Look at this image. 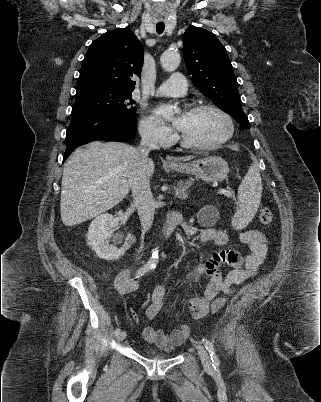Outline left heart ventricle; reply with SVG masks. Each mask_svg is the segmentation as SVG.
Segmentation results:
<instances>
[{
	"instance_id": "left-heart-ventricle-1",
	"label": "left heart ventricle",
	"mask_w": 321,
	"mask_h": 402,
	"mask_svg": "<svg viewBox=\"0 0 321 402\" xmlns=\"http://www.w3.org/2000/svg\"><path fill=\"white\" fill-rule=\"evenodd\" d=\"M181 132L196 143L215 142L227 132L225 119L214 110L187 112Z\"/></svg>"
}]
</instances>
